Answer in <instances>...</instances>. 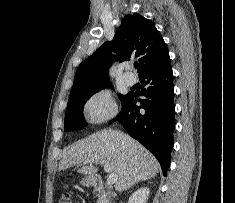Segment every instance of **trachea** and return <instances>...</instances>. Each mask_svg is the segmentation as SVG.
I'll use <instances>...</instances> for the list:
<instances>
[{
    "mask_svg": "<svg viewBox=\"0 0 235 203\" xmlns=\"http://www.w3.org/2000/svg\"><path fill=\"white\" fill-rule=\"evenodd\" d=\"M134 67L137 68V67H138V63H135V64H134Z\"/></svg>",
    "mask_w": 235,
    "mask_h": 203,
    "instance_id": "trachea-1",
    "label": "trachea"
}]
</instances>
